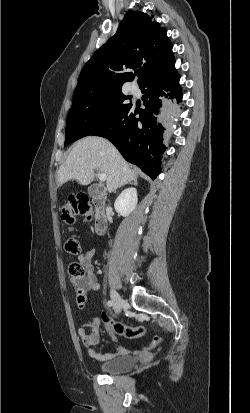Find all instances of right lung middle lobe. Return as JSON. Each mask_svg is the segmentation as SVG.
Returning a JSON list of instances; mask_svg holds the SVG:
<instances>
[{
  "mask_svg": "<svg viewBox=\"0 0 250 413\" xmlns=\"http://www.w3.org/2000/svg\"><path fill=\"white\" fill-rule=\"evenodd\" d=\"M121 88L75 94L66 122L65 144L91 135L131 105Z\"/></svg>",
  "mask_w": 250,
  "mask_h": 413,
  "instance_id": "1",
  "label": "right lung middle lobe"
}]
</instances>
